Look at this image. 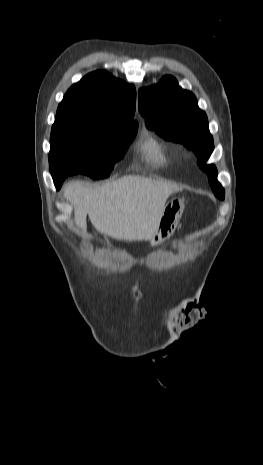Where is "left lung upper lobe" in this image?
<instances>
[{"label": "left lung upper lobe", "instance_id": "left-lung-upper-lobe-1", "mask_svg": "<svg viewBox=\"0 0 263 465\" xmlns=\"http://www.w3.org/2000/svg\"><path fill=\"white\" fill-rule=\"evenodd\" d=\"M139 112L146 125L163 138L193 150L198 163L210 157L214 144L207 116L199 109L194 94L179 87L172 76H164L157 85L139 90ZM208 177L215 196L223 200L225 191L217 176Z\"/></svg>", "mask_w": 263, "mask_h": 465}]
</instances>
